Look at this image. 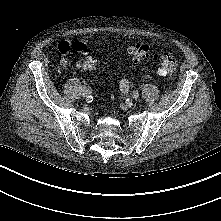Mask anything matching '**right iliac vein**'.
Returning a JSON list of instances; mask_svg holds the SVG:
<instances>
[{"instance_id": "1", "label": "right iliac vein", "mask_w": 221, "mask_h": 221, "mask_svg": "<svg viewBox=\"0 0 221 221\" xmlns=\"http://www.w3.org/2000/svg\"><path fill=\"white\" fill-rule=\"evenodd\" d=\"M88 95H89L88 90L85 89V88H83V89H82V96H83V97H87Z\"/></svg>"}]
</instances>
